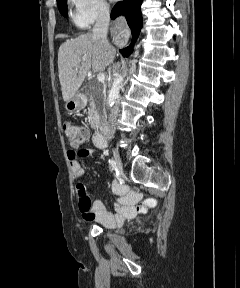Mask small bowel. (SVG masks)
Instances as JSON below:
<instances>
[{"label":"small bowel","mask_w":240,"mask_h":288,"mask_svg":"<svg viewBox=\"0 0 240 288\" xmlns=\"http://www.w3.org/2000/svg\"><path fill=\"white\" fill-rule=\"evenodd\" d=\"M86 139L88 137L85 130ZM82 144L73 146L67 152L68 159L72 170L74 180H80L86 174L81 167L78 156L86 157L91 155L94 150L90 148H81ZM112 190L119 200L116 204V213L107 211L105 205L100 200L91 202L86 187L82 183L76 185V196L79 211L86 221H96L105 227L121 226L128 218L133 217L138 210L143 209V206L138 205V195L130 192L126 186L114 182Z\"/></svg>","instance_id":"small-bowel-1"}]
</instances>
